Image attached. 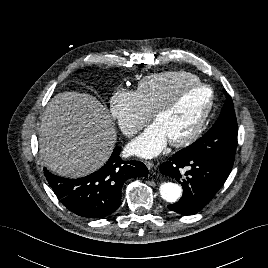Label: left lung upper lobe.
<instances>
[{"instance_id": "left-lung-upper-lobe-1", "label": "left lung upper lobe", "mask_w": 268, "mask_h": 268, "mask_svg": "<svg viewBox=\"0 0 268 268\" xmlns=\"http://www.w3.org/2000/svg\"><path fill=\"white\" fill-rule=\"evenodd\" d=\"M225 95L227 102L213 127L179 153L185 156L214 158L233 166L238 129L232 99L228 93L225 92Z\"/></svg>"}]
</instances>
